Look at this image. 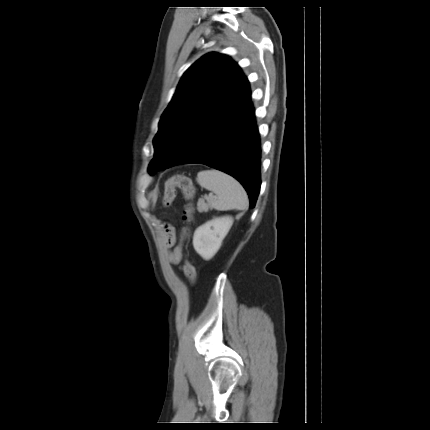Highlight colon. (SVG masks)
Segmentation results:
<instances>
[{
	"label": "colon",
	"instance_id": "1",
	"mask_svg": "<svg viewBox=\"0 0 430 430\" xmlns=\"http://www.w3.org/2000/svg\"><path fill=\"white\" fill-rule=\"evenodd\" d=\"M177 188L181 190L186 201L183 208V219L189 224L194 218L195 207L193 199L195 196V188L188 176L184 174H176L167 181L163 195V204L165 206H169L174 202ZM188 233L189 228H184L183 235L187 236ZM183 272L192 284L196 283V269L188 258H185L184 260Z\"/></svg>",
	"mask_w": 430,
	"mask_h": 430
}]
</instances>
